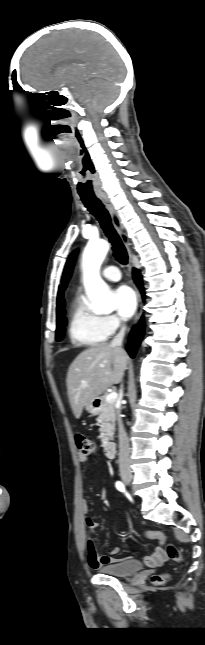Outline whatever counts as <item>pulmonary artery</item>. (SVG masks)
Returning <instances> with one entry per match:
<instances>
[{"mask_svg": "<svg viewBox=\"0 0 205 645\" xmlns=\"http://www.w3.org/2000/svg\"><path fill=\"white\" fill-rule=\"evenodd\" d=\"M102 275L104 278L110 281H119L121 279V273L119 269L115 266L106 267L103 270Z\"/></svg>", "mask_w": 205, "mask_h": 645, "instance_id": "e3ab8cb5", "label": "pulmonary artery"}]
</instances>
